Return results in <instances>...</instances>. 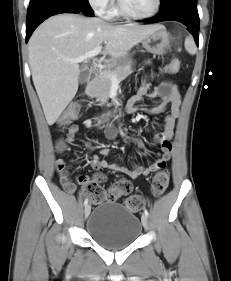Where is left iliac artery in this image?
I'll list each match as a JSON object with an SVG mask.
<instances>
[{
    "label": "left iliac artery",
    "instance_id": "44dca946",
    "mask_svg": "<svg viewBox=\"0 0 231 281\" xmlns=\"http://www.w3.org/2000/svg\"><path fill=\"white\" fill-rule=\"evenodd\" d=\"M144 214L148 217L149 216V213L147 211V209H144Z\"/></svg>",
    "mask_w": 231,
    "mask_h": 281
}]
</instances>
